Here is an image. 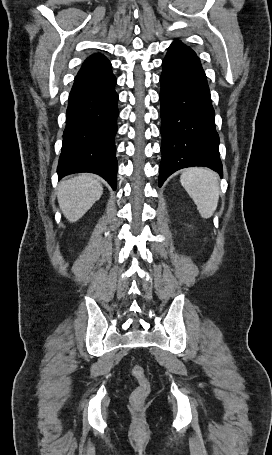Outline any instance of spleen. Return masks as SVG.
Wrapping results in <instances>:
<instances>
[{
	"label": "spleen",
	"instance_id": "spleen-1",
	"mask_svg": "<svg viewBox=\"0 0 272 455\" xmlns=\"http://www.w3.org/2000/svg\"><path fill=\"white\" fill-rule=\"evenodd\" d=\"M180 181L196 204L201 217L210 218L218 206L220 194L216 173L207 168H189L182 173Z\"/></svg>",
	"mask_w": 272,
	"mask_h": 455
}]
</instances>
